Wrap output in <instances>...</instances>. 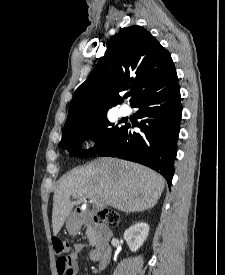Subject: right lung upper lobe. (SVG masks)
<instances>
[{
  "label": "right lung upper lobe",
  "mask_w": 225,
  "mask_h": 275,
  "mask_svg": "<svg viewBox=\"0 0 225 275\" xmlns=\"http://www.w3.org/2000/svg\"><path fill=\"white\" fill-rule=\"evenodd\" d=\"M177 79L169 52L150 32L141 26L124 28L111 38L105 56L77 88L64 127L121 104L123 90L130 89L132 106Z\"/></svg>",
  "instance_id": "obj_1"
}]
</instances>
